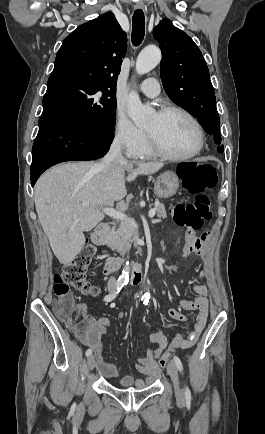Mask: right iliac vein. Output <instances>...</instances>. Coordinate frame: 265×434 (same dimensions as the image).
Masks as SVG:
<instances>
[{"label":"right iliac vein","instance_id":"obj_1","mask_svg":"<svg viewBox=\"0 0 265 434\" xmlns=\"http://www.w3.org/2000/svg\"><path fill=\"white\" fill-rule=\"evenodd\" d=\"M109 290H111V288H109ZM95 366V358L94 356H89L88 360H87V367L89 371H92L94 369Z\"/></svg>","mask_w":265,"mask_h":434}]
</instances>
